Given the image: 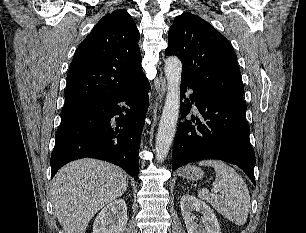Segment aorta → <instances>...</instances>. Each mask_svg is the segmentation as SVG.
I'll list each match as a JSON object with an SVG mask.
<instances>
[{
    "instance_id": "1",
    "label": "aorta",
    "mask_w": 306,
    "mask_h": 233,
    "mask_svg": "<svg viewBox=\"0 0 306 233\" xmlns=\"http://www.w3.org/2000/svg\"><path fill=\"white\" fill-rule=\"evenodd\" d=\"M167 78V95L156 135V159L163 161L173 142L180 110V81L182 63L179 58H167L164 67Z\"/></svg>"
}]
</instances>
